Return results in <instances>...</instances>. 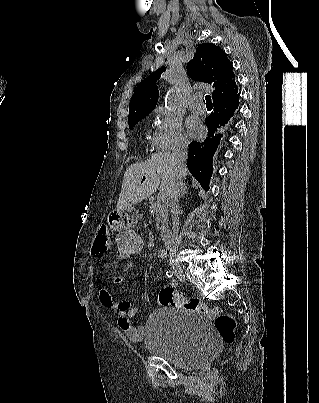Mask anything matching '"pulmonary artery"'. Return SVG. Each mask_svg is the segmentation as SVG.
<instances>
[{"label": "pulmonary artery", "instance_id": "e3ab8cb5", "mask_svg": "<svg viewBox=\"0 0 319 403\" xmlns=\"http://www.w3.org/2000/svg\"><path fill=\"white\" fill-rule=\"evenodd\" d=\"M189 108L192 111L203 113L206 110L203 98L198 95L194 96L189 102Z\"/></svg>", "mask_w": 319, "mask_h": 403}]
</instances>
